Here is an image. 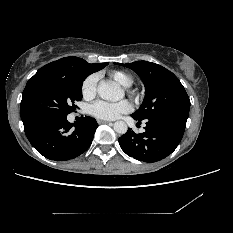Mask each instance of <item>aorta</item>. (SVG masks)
Returning <instances> with one entry per match:
<instances>
[{"instance_id":"762f6f07","label":"aorta","mask_w":233,"mask_h":233,"mask_svg":"<svg viewBox=\"0 0 233 233\" xmlns=\"http://www.w3.org/2000/svg\"><path fill=\"white\" fill-rule=\"evenodd\" d=\"M98 95L109 101H118L123 98L124 91L114 82L100 81L98 88ZM128 130V126L124 121H117L114 123V131L119 134H125Z\"/></svg>"}]
</instances>
